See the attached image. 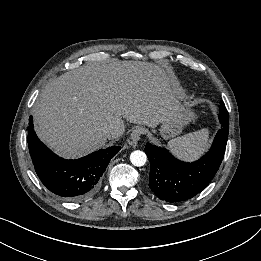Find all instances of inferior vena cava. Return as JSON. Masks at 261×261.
Returning a JSON list of instances; mask_svg holds the SVG:
<instances>
[{"instance_id": "obj_1", "label": "inferior vena cava", "mask_w": 261, "mask_h": 261, "mask_svg": "<svg viewBox=\"0 0 261 261\" xmlns=\"http://www.w3.org/2000/svg\"><path fill=\"white\" fill-rule=\"evenodd\" d=\"M104 133L108 139H114L121 136V130L116 126L105 127Z\"/></svg>"}]
</instances>
